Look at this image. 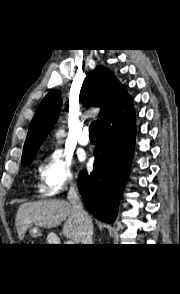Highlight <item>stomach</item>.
Instances as JSON below:
<instances>
[{
    "label": "stomach",
    "mask_w": 180,
    "mask_h": 294,
    "mask_svg": "<svg viewBox=\"0 0 180 294\" xmlns=\"http://www.w3.org/2000/svg\"><path fill=\"white\" fill-rule=\"evenodd\" d=\"M28 232H29V235L31 237H33V238H38V237H41L42 236V231L37 226H31V227H29ZM48 244H51V243H48Z\"/></svg>",
    "instance_id": "1"
}]
</instances>
